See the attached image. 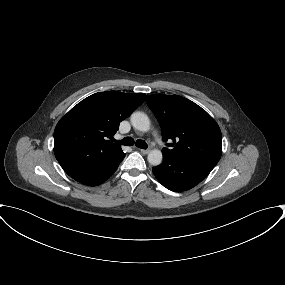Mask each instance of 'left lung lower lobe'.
Masks as SVG:
<instances>
[{"label": "left lung lower lobe", "mask_w": 285, "mask_h": 285, "mask_svg": "<svg viewBox=\"0 0 285 285\" xmlns=\"http://www.w3.org/2000/svg\"><path fill=\"white\" fill-rule=\"evenodd\" d=\"M212 169L163 155V162L153 169L158 181L167 189L182 192L204 180Z\"/></svg>", "instance_id": "left-lung-lower-lobe-1"}]
</instances>
